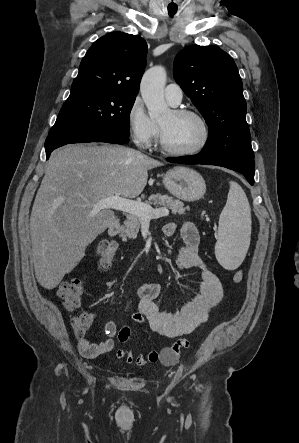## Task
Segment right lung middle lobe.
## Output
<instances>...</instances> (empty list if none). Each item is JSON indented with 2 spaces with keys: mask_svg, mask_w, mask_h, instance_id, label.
<instances>
[{
  "mask_svg": "<svg viewBox=\"0 0 299 443\" xmlns=\"http://www.w3.org/2000/svg\"><path fill=\"white\" fill-rule=\"evenodd\" d=\"M136 96L101 89H74L62 106L48 136L112 130L130 135L129 115Z\"/></svg>",
  "mask_w": 299,
  "mask_h": 443,
  "instance_id": "1",
  "label": "right lung middle lobe"
}]
</instances>
